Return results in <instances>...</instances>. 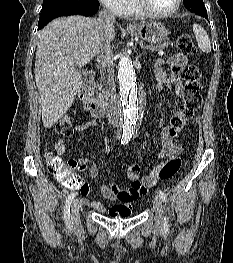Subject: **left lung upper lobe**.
<instances>
[{"label": "left lung upper lobe", "instance_id": "1", "mask_svg": "<svg viewBox=\"0 0 233 263\" xmlns=\"http://www.w3.org/2000/svg\"><path fill=\"white\" fill-rule=\"evenodd\" d=\"M186 8L196 14L207 13L203 0H183Z\"/></svg>", "mask_w": 233, "mask_h": 263}]
</instances>
